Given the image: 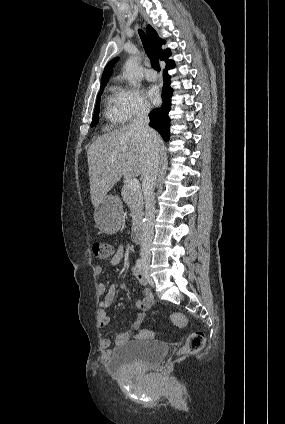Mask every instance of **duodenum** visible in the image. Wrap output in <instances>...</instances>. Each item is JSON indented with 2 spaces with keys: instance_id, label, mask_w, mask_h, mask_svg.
<instances>
[{
  "instance_id": "duodenum-1",
  "label": "duodenum",
  "mask_w": 285,
  "mask_h": 424,
  "mask_svg": "<svg viewBox=\"0 0 285 424\" xmlns=\"http://www.w3.org/2000/svg\"><path fill=\"white\" fill-rule=\"evenodd\" d=\"M132 240L135 243H141L143 241V229L141 226H136L133 230Z\"/></svg>"
}]
</instances>
